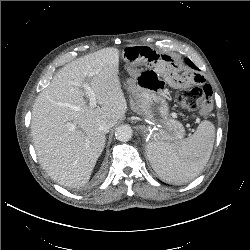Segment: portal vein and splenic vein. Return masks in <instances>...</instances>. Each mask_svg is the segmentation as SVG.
I'll return each mask as SVG.
<instances>
[{
  "label": "portal vein and splenic vein",
  "mask_w": 250,
  "mask_h": 250,
  "mask_svg": "<svg viewBox=\"0 0 250 250\" xmlns=\"http://www.w3.org/2000/svg\"><path fill=\"white\" fill-rule=\"evenodd\" d=\"M93 74L90 73L88 77L92 76ZM82 87L85 89V93L87 95V98L89 99V106L90 107H95L97 104V97L94 92V90L87 84V82H84L82 84Z\"/></svg>",
  "instance_id": "portal-vein-and-splenic-vein-1"
}]
</instances>
